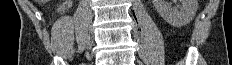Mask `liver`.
<instances>
[{
	"label": "liver",
	"mask_w": 232,
	"mask_h": 65,
	"mask_svg": "<svg viewBox=\"0 0 232 65\" xmlns=\"http://www.w3.org/2000/svg\"><path fill=\"white\" fill-rule=\"evenodd\" d=\"M38 2H47L48 0H37Z\"/></svg>",
	"instance_id": "6515ba94"
}]
</instances>
